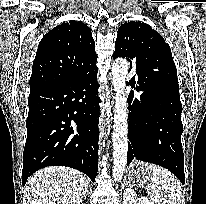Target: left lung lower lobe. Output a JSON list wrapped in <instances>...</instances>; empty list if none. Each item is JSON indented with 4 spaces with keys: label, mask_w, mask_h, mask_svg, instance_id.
<instances>
[{
    "label": "left lung lower lobe",
    "mask_w": 206,
    "mask_h": 204,
    "mask_svg": "<svg viewBox=\"0 0 206 204\" xmlns=\"http://www.w3.org/2000/svg\"><path fill=\"white\" fill-rule=\"evenodd\" d=\"M136 69L137 84L133 77L128 85L142 93L136 97L131 91L128 96L127 164L137 159L160 165L174 173L184 184L182 105L179 86L172 82L147 85V72L144 67Z\"/></svg>",
    "instance_id": "obj_1"
}]
</instances>
